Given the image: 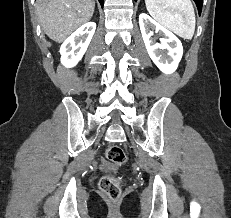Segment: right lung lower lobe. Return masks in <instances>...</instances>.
Listing matches in <instances>:
<instances>
[{
    "mask_svg": "<svg viewBox=\"0 0 231 218\" xmlns=\"http://www.w3.org/2000/svg\"><path fill=\"white\" fill-rule=\"evenodd\" d=\"M101 6L103 7L104 0H99Z\"/></svg>",
    "mask_w": 231,
    "mask_h": 218,
    "instance_id": "right-lung-lower-lobe-1",
    "label": "right lung lower lobe"
}]
</instances>
